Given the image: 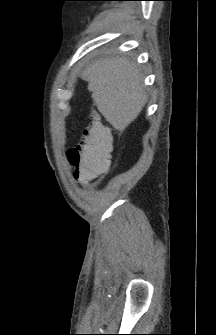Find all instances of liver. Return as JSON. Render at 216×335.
I'll list each match as a JSON object with an SVG mask.
<instances>
[{"instance_id":"obj_1","label":"liver","mask_w":216,"mask_h":335,"mask_svg":"<svg viewBox=\"0 0 216 335\" xmlns=\"http://www.w3.org/2000/svg\"><path fill=\"white\" fill-rule=\"evenodd\" d=\"M84 78L98 111L119 131L138 117L148 101L143 77L127 58H100L86 67Z\"/></svg>"}]
</instances>
